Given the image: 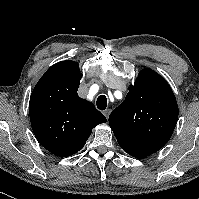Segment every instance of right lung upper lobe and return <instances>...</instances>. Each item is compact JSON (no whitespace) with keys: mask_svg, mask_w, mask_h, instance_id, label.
Wrapping results in <instances>:
<instances>
[{"mask_svg":"<svg viewBox=\"0 0 199 199\" xmlns=\"http://www.w3.org/2000/svg\"><path fill=\"white\" fill-rule=\"evenodd\" d=\"M82 74L75 61L52 65L34 87L29 103L32 130L49 152L67 157L83 148L92 129L107 120L78 96Z\"/></svg>","mask_w":199,"mask_h":199,"instance_id":"right-lung-upper-lobe-1","label":"right lung upper lobe"}]
</instances>
